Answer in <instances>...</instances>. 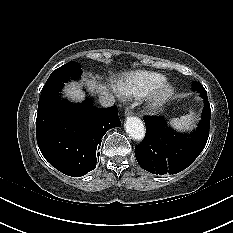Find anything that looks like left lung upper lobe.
Returning <instances> with one entry per match:
<instances>
[{"label": "left lung upper lobe", "mask_w": 233, "mask_h": 233, "mask_svg": "<svg viewBox=\"0 0 233 233\" xmlns=\"http://www.w3.org/2000/svg\"><path fill=\"white\" fill-rule=\"evenodd\" d=\"M193 90L200 92V94H202L203 91H205L204 87L199 82H194Z\"/></svg>", "instance_id": "obj_1"}]
</instances>
